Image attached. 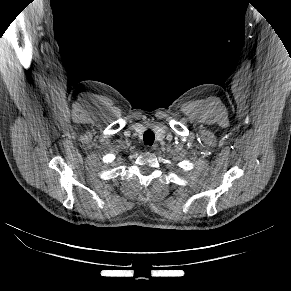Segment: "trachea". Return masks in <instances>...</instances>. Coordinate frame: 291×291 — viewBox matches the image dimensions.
Masks as SVG:
<instances>
[{
  "mask_svg": "<svg viewBox=\"0 0 291 291\" xmlns=\"http://www.w3.org/2000/svg\"><path fill=\"white\" fill-rule=\"evenodd\" d=\"M155 140V135L152 131L148 130L143 135V141L145 145L151 146Z\"/></svg>",
  "mask_w": 291,
  "mask_h": 291,
  "instance_id": "obj_1",
  "label": "trachea"
}]
</instances>
